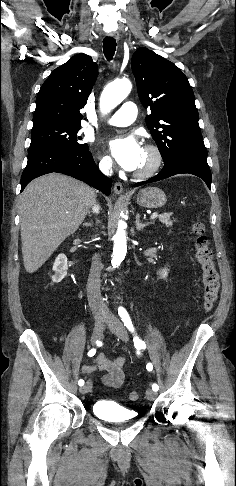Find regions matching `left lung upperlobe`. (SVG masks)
<instances>
[{
    "mask_svg": "<svg viewBox=\"0 0 236 486\" xmlns=\"http://www.w3.org/2000/svg\"><path fill=\"white\" fill-rule=\"evenodd\" d=\"M131 67L140 101L151 110L146 125L164 163L179 156L207 158L194 93L185 74L143 47L133 54Z\"/></svg>",
    "mask_w": 236,
    "mask_h": 486,
    "instance_id": "obj_1",
    "label": "left lung upper lobe"
}]
</instances>
